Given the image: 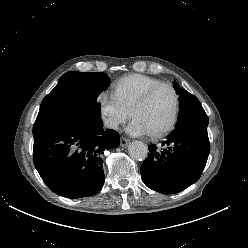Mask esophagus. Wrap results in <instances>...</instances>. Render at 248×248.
<instances>
[{
  "mask_svg": "<svg viewBox=\"0 0 248 248\" xmlns=\"http://www.w3.org/2000/svg\"><path fill=\"white\" fill-rule=\"evenodd\" d=\"M128 143H129V140L128 139H126L124 137H121L120 138V146L121 147H126L128 145Z\"/></svg>",
  "mask_w": 248,
  "mask_h": 248,
  "instance_id": "esophagus-1",
  "label": "esophagus"
}]
</instances>
